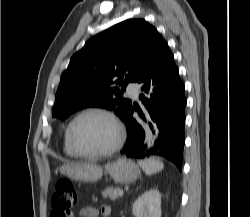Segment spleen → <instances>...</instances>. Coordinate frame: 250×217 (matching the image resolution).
<instances>
[{"label":"spleen","instance_id":"obj_1","mask_svg":"<svg viewBox=\"0 0 250 217\" xmlns=\"http://www.w3.org/2000/svg\"><path fill=\"white\" fill-rule=\"evenodd\" d=\"M138 163L147 175L155 174L164 168V164L155 158L139 160Z\"/></svg>","mask_w":250,"mask_h":217}]
</instances>
